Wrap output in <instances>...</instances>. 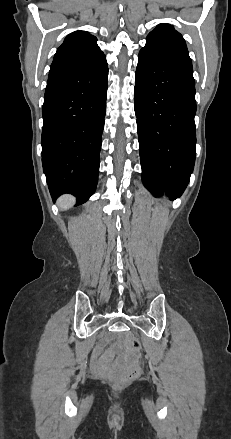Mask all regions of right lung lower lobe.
Listing matches in <instances>:
<instances>
[{
  "label": "right lung lower lobe",
  "mask_w": 231,
  "mask_h": 439,
  "mask_svg": "<svg viewBox=\"0 0 231 439\" xmlns=\"http://www.w3.org/2000/svg\"><path fill=\"white\" fill-rule=\"evenodd\" d=\"M107 87L105 56L85 70L48 79L41 144L53 199L70 193L80 205L95 192Z\"/></svg>",
  "instance_id": "right-lung-lower-lobe-1"
}]
</instances>
